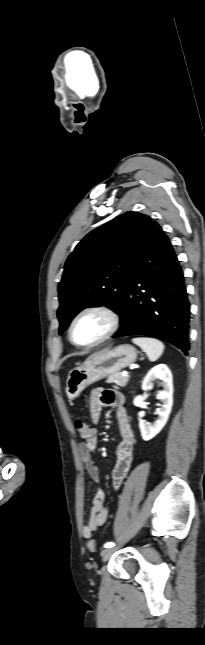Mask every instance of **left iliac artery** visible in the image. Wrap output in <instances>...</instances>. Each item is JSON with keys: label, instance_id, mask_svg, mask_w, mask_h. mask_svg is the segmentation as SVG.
I'll return each instance as SVG.
<instances>
[{"label": "left iliac artery", "instance_id": "left-iliac-artery-1", "mask_svg": "<svg viewBox=\"0 0 205 645\" xmlns=\"http://www.w3.org/2000/svg\"><path fill=\"white\" fill-rule=\"evenodd\" d=\"M114 545H115V544H114L113 542H107V543H105V544H104V547H105V548H111V547H113Z\"/></svg>", "mask_w": 205, "mask_h": 645}]
</instances>
